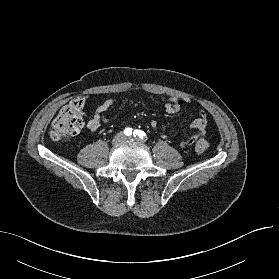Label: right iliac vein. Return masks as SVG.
<instances>
[{
	"label": "right iliac vein",
	"mask_w": 279,
	"mask_h": 279,
	"mask_svg": "<svg viewBox=\"0 0 279 279\" xmlns=\"http://www.w3.org/2000/svg\"><path fill=\"white\" fill-rule=\"evenodd\" d=\"M123 140H124V135L122 133H119L113 138L112 143L113 144H119Z\"/></svg>",
	"instance_id": "1"
}]
</instances>
